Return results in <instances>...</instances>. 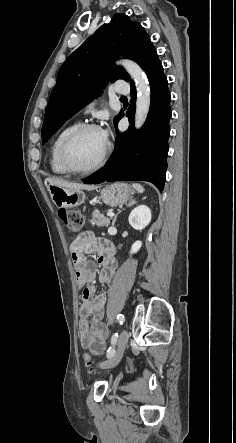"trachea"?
Returning <instances> with one entry per match:
<instances>
[{
  "mask_svg": "<svg viewBox=\"0 0 236 443\" xmlns=\"http://www.w3.org/2000/svg\"><path fill=\"white\" fill-rule=\"evenodd\" d=\"M121 99L122 100H127V98L125 96H122Z\"/></svg>",
  "mask_w": 236,
  "mask_h": 443,
  "instance_id": "3493384b",
  "label": "trachea"
}]
</instances>
